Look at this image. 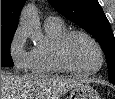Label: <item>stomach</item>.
<instances>
[{
    "label": "stomach",
    "instance_id": "0dacf381",
    "mask_svg": "<svg viewBox=\"0 0 115 99\" xmlns=\"http://www.w3.org/2000/svg\"><path fill=\"white\" fill-rule=\"evenodd\" d=\"M70 99H101L98 92L88 84H80L71 91Z\"/></svg>",
    "mask_w": 115,
    "mask_h": 99
}]
</instances>
